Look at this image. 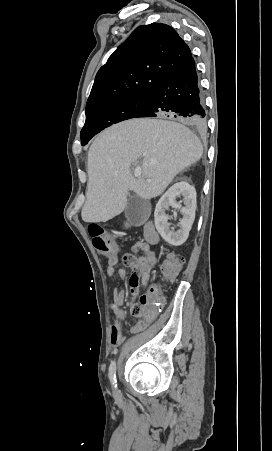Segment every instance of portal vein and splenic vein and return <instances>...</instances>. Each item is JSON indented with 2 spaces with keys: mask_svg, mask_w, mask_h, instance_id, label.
Instances as JSON below:
<instances>
[{
  "mask_svg": "<svg viewBox=\"0 0 272 451\" xmlns=\"http://www.w3.org/2000/svg\"><path fill=\"white\" fill-rule=\"evenodd\" d=\"M141 174H142L141 170H135L134 178H140ZM147 182H150V180H147Z\"/></svg>",
  "mask_w": 272,
  "mask_h": 451,
  "instance_id": "portal-vein-and-splenic-vein-1",
  "label": "portal vein and splenic vein"
}]
</instances>
